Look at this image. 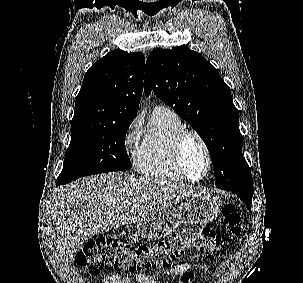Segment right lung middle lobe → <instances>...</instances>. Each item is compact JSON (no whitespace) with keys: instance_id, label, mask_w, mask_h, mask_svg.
<instances>
[{"instance_id":"1","label":"right lung middle lobe","mask_w":303,"mask_h":283,"mask_svg":"<svg viewBox=\"0 0 303 283\" xmlns=\"http://www.w3.org/2000/svg\"><path fill=\"white\" fill-rule=\"evenodd\" d=\"M132 121L115 124L72 121L71 142L58 178L68 183L87 175L129 170L125 136Z\"/></svg>"}]
</instances>
